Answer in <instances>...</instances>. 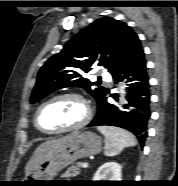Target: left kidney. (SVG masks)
Here are the masks:
<instances>
[{"label":"left kidney","mask_w":178,"mask_h":186,"mask_svg":"<svg viewBox=\"0 0 178 186\" xmlns=\"http://www.w3.org/2000/svg\"><path fill=\"white\" fill-rule=\"evenodd\" d=\"M122 167L116 162H107L96 171L93 181H122Z\"/></svg>","instance_id":"left-kidney-1"}]
</instances>
